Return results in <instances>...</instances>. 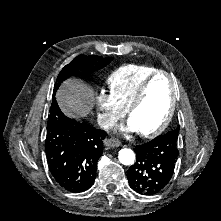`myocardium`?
Returning <instances> with one entry per match:
<instances>
[{
	"mask_svg": "<svg viewBox=\"0 0 221 221\" xmlns=\"http://www.w3.org/2000/svg\"><path fill=\"white\" fill-rule=\"evenodd\" d=\"M160 76H166L170 81L171 86V101L169 105V109L167 111V114L162 121V123L156 127L155 129L146 131V132H140V135L145 138H153L155 136H158L161 134L168 124L170 123L177 103V97L174 89V78L173 76L164 70H158L155 73H153L146 81H144L140 87L138 88L135 96L133 99L128 103V105L125 107V113L128 115L129 118H131L133 112L144 102L145 97L147 95V92L151 86V84L154 82V80Z\"/></svg>",
	"mask_w": 221,
	"mask_h": 221,
	"instance_id": "1",
	"label": "myocardium"
}]
</instances>
